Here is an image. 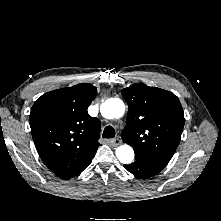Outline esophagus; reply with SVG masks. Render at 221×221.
<instances>
[{
  "instance_id": "34e87169",
  "label": "esophagus",
  "mask_w": 221,
  "mask_h": 221,
  "mask_svg": "<svg viewBox=\"0 0 221 221\" xmlns=\"http://www.w3.org/2000/svg\"><path fill=\"white\" fill-rule=\"evenodd\" d=\"M110 143L112 144V146L116 147L119 146L122 142L119 138H114L110 141Z\"/></svg>"
}]
</instances>
